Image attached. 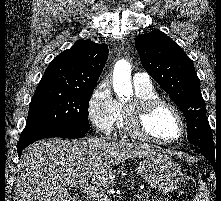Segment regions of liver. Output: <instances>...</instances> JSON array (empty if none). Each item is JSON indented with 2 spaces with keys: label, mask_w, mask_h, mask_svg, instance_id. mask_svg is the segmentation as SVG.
Masks as SVG:
<instances>
[{
  "label": "liver",
  "mask_w": 221,
  "mask_h": 201,
  "mask_svg": "<svg viewBox=\"0 0 221 201\" xmlns=\"http://www.w3.org/2000/svg\"><path fill=\"white\" fill-rule=\"evenodd\" d=\"M158 150L146 144L107 142L101 138L41 140L27 147L18 163L14 201H71L69 182L107 186L111 165Z\"/></svg>",
  "instance_id": "liver-1"
}]
</instances>
